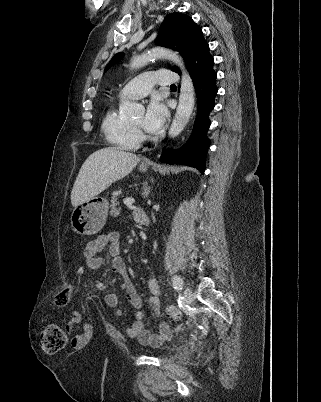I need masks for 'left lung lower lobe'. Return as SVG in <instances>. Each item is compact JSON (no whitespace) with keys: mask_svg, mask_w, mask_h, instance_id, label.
Segmentation results:
<instances>
[{"mask_svg":"<svg viewBox=\"0 0 321 402\" xmlns=\"http://www.w3.org/2000/svg\"><path fill=\"white\" fill-rule=\"evenodd\" d=\"M187 69L194 82L198 111L194 128L186 144L176 150L167 149L161 156V161L168 164H185L197 168L201 173L205 170V155L210 146L207 131L210 126L209 113L214 108V98L217 94L213 70V57L209 46L204 42L192 55Z\"/></svg>","mask_w":321,"mask_h":402,"instance_id":"left-lung-lower-lobe-1","label":"left lung lower lobe"}]
</instances>
